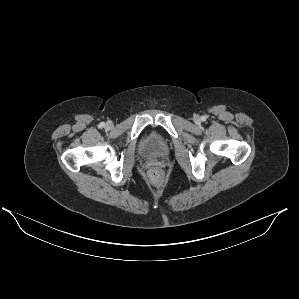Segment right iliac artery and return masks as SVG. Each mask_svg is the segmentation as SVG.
<instances>
[{
    "label": "right iliac artery",
    "instance_id": "82829eb1",
    "mask_svg": "<svg viewBox=\"0 0 299 299\" xmlns=\"http://www.w3.org/2000/svg\"><path fill=\"white\" fill-rule=\"evenodd\" d=\"M105 126V123L104 122H101L100 124H99V127H104Z\"/></svg>",
    "mask_w": 299,
    "mask_h": 299
}]
</instances>
